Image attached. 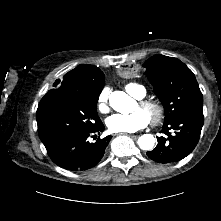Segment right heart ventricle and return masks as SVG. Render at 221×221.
<instances>
[{
    "instance_id": "1",
    "label": "right heart ventricle",
    "mask_w": 221,
    "mask_h": 221,
    "mask_svg": "<svg viewBox=\"0 0 221 221\" xmlns=\"http://www.w3.org/2000/svg\"><path fill=\"white\" fill-rule=\"evenodd\" d=\"M125 88L127 92L132 96H134L135 98L141 99L146 95L145 89L136 83H129L126 85Z\"/></svg>"
}]
</instances>
